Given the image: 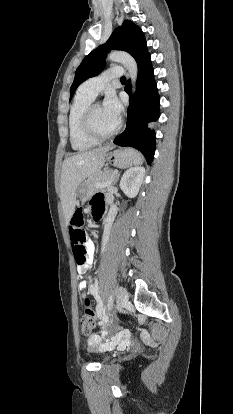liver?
I'll use <instances>...</instances> for the list:
<instances>
[{"instance_id": "liver-1", "label": "liver", "mask_w": 233, "mask_h": 414, "mask_svg": "<svg viewBox=\"0 0 233 414\" xmlns=\"http://www.w3.org/2000/svg\"><path fill=\"white\" fill-rule=\"evenodd\" d=\"M111 146L83 151L66 158L62 164L60 180V198L63 214L68 223L76 206V192L79 185L87 178L100 171L105 162V155Z\"/></svg>"}]
</instances>
